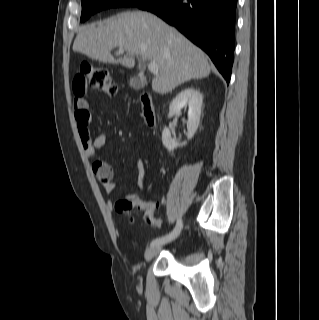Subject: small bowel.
<instances>
[{"label":"small bowel","instance_id":"small-bowel-1","mask_svg":"<svg viewBox=\"0 0 319 320\" xmlns=\"http://www.w3.org/2000/svg\"><path fill=\"white\" fill-rule=\"evenodd\" d=\"M75 99H74V108H75V121L78 126L81 143L84 148L85 155L88 158H93L99 149L104 147L109 140V137L105 134H100L95 138H92L88 131L85 130V126H88L91 114L89 111V103L85 98V87L76 88L74 87ZM104 163V161H96ZM95 162V163H96ZM94 163V164H95ZM137 168V184L140 189L146 190V174L145 167L142 160H138L136 163ZM95 171V170H94ZM96 176L101 181L102 186L106 193H112L116 188V183L112 177V171H107L103 168L95 171ZM129 199L138 202V207L143 209L144 212L154 213L156 205L150 200L140 199L134 194L129 195Z\"/></svg>","mask_w":319,"mask_h":320}]
</instances>
